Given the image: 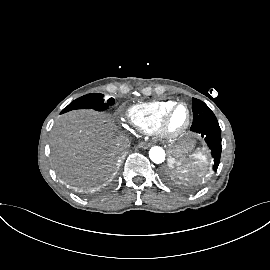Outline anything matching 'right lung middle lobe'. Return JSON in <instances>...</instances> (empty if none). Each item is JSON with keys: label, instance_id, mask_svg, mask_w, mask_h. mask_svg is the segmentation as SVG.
<instances>
[{"label": "right lung middle lobe", "instance_id": "obj_1", "mask_svg": "<svg viewBox=\"0 0 270 270\" xmlns=\"http://www.w3.org/2000/svg\"><path fill=\"white\" fill-rule=\"evenodd\" d=\"M113 103V98H110L107 103H104L102 94L91 93L74 100L66 108H64L61 113H65L74 109H94L97 111H103Z\"/></svg>", "mask_w": 270, "mask_h": 270}]
</instances>
